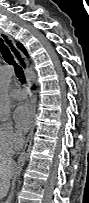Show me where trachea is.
Segmentation results:
<instances>
[{
	"label": "trachea",
	"instance_id": "3493384b",
	"mask_svg": "<svg viewBox=\"0 0 89 203\" xmlns=\"http://www.w3.org/2000/svg\"><path fill=\"white\" fill-rule=\"evenodd\" d=\"M0 52L3 56V58L5 59V61L8 64L14 66L15 74H16L17 78L19 79V81L22 84L25 83V75H24L23 69L16 64L9 48L5 45L3 39H1V38H0Z\"/></svg>",
	"mask_w": 89,
	"mask_h": 203
}]
</instances>
